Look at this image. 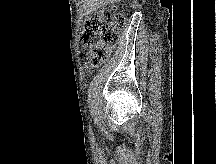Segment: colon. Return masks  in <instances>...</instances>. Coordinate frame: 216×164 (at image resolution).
<instances>
[{
  "label": "colon",
  "instance_id": "colon-1",
  "mask_svg": "<svg viewBox=\"0 0 216 164\" xmlns=\"http://www.w3.org/2000/svg\"><path fill=\"white\" fill-rule=\"evenodd\" d=\"M124 24L123 12L115 7L102 9L86 20L81 42L89 47L87 61L91 68L99 67L108 59Z\"/></svg>",
  "mask_w": 216,
  "mask_h": 164
}]
</instances>
